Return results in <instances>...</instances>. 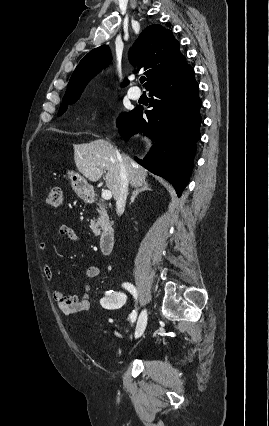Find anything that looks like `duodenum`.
Listing matches in <instances>:
<instances>
[{"label":"duodenum","instance_id":"obj_1","mask_svg":"<svg viewBox=\"0 0 269 426\" xmlns=\"http://www.w3.org/2000/svg\"><path fill=\"white\" fill-rule=\"evenodd\" d=\"M90 202H95L94 196H88ZM115 232L111 228H104L101 232L99 244L102 254L109 255L113 251Z\"/></svg>","mask_w":269,"mask_h":426}]
</instances>
